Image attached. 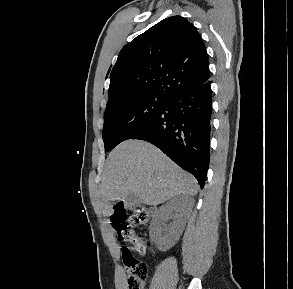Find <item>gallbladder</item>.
<instances>
[{
  "mask_svg": "<svg viewBox=\"0 0 293 289\" xmlns=\"http://www.w3.org/2000/svg\"><path fill=\"white\" fill-rule=\"evenodd\" d=\"M140 204H141V202L134 194H129L124 200V205L127 209L136 208Z\"/></svg>",
  "mask_w": 293,
  "mask_h": 289,
  "instance_id": "bac80fb5",
  "label": "gallbladder"
}]
</instances>
